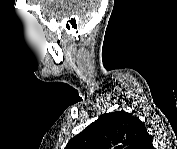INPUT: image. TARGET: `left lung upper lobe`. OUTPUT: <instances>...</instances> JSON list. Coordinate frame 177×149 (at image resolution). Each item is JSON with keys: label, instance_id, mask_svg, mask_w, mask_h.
Masks as SVG:
<instances>
[{"label": "left lung upper lobe", "instance_id": "obj_1", "mask_svg": "<svg viewBox=\"0 0 177 149\" xmlns=\"http://www.w3.org/2000/svg\"><path fill=\"white\" fill-rule=\"evenodd\" d=\"M146 134L139 118L125 111L109 112L70 139L65 149H146Z\"/></svg>", "mask_w": 177, "mask_h": 149}]
</instances>
